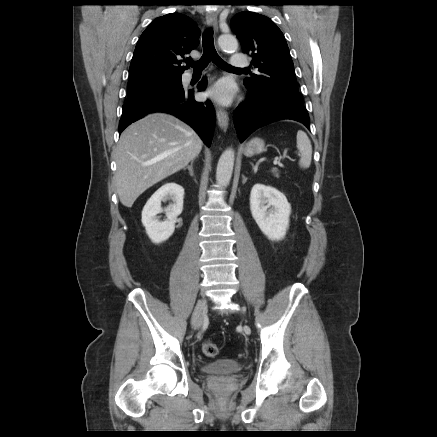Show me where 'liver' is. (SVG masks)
<instances>
[{
	"instance_id": "obj_1",
	"label": "liver",
	"mask_w": 437,
	"mask_h": 437,
	"mask_svg": "<svg viewBox=\"0 0 437 437\" xmlns=\"http://www.w3.org/2000/svg\"><path fill=\"white\" fill-rule=\"evenodd\" d=\"M201 149L197 133L172 115L153 113L131 124L115 149L120 202L131 208L143 192L187 166Z\"/></svg>"
}]
</instances>
